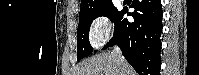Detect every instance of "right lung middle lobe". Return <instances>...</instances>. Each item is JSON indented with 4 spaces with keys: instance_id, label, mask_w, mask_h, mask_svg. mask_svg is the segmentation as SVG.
Masks as SVG:
<instances>
[{
    "instance_id": "obj_1",
    "label": "right lung middle lobe",
    "mask_w": 199,
    "mask_h": 75,
    "mask_svg": "<svg viewBox=\"0 0 199 75\" xmlns=\"http://www.w3.org/2000/svg\"><path fill=\"white\" fill-rule=\"evenodd\" d=\"M120 13L121 11H118L111 1L83 15H79V25L77 30V60H81L93 52L89 43V29L92 21L99 16H106L115 24Z\"/></svg>"
}]
</instances>
